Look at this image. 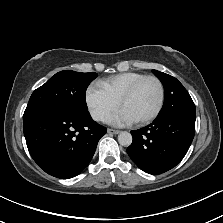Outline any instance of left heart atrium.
I'll return each instance as SVG.
<instances>
[{"mask_svg":"<svg viewBox=\"0 0 223 223\" xmlns=\"http://www.w3.org/2000/svg\"><path fill=\"white\" fill-rule=\"evenodd\" d=\"M134 119L124 110L118 109L110 118L109 122L114 125H125L133 122Z\"/></svg>","mask_w":223,"mask_h":223,"instance_id":"39dd6f15","label":"left heart atrium"}]
</instances>
